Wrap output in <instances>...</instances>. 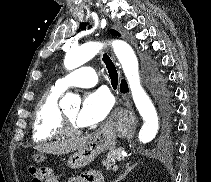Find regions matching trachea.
Wrapping results in <instances>:
<instances>
[{"instance_id": "1", "label": "trachea", "mask_w": 211, "mask_h": 182, "mask_svg": "<svg viewBox=\"0 0 211 182\" xmlns=\"http://www.w3.org/2000/svg\"><path fill=\"white\" fill-rule=\"evenodd\" d=\"M102 60L106 65L112 85L117 86L118 74L114 63L106 53L103 54Z\"/></svg>"}]
</instances>
